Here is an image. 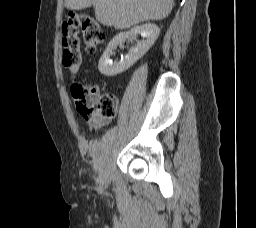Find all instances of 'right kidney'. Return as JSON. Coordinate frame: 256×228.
Masks as SVG:
<instances>
[{"label":"right kidney","mask_w":256,"mask_h":228,"mask_svg":"<svg viewBox=\"0 0 256 228\" xmlns=\"http://www.w3.org/2000/svg\"><path fill=\"white\" fill-rule=\"evenodd\" d=\"M159 34V27L152 23L139 25L128 32L119 33L109 42L106 50L101 56L98 64L99 71L107 77H113L126 71L146 54L157 40ZM137 35H141L143 40L138 41L137 45L131 48L128 54L124 58H121L119 62H112L110 56L117 45L121 44L127 38H136Z\"/></svg>","instance_id":"1"}]
</instances>
